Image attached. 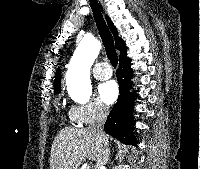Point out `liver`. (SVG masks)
<instances>
[{
	"instance_id": "liver-1",
	"label": "liver",
	"mask_w": 200,
	"mask_h": 169,
	"mask_svg": "<svg viewBox=\"0 0 200 169\" xmlns=\"http://www.w3.org/2000/svg\"><path fill=\"white\" fill-rule=\"evenodd\" d=\"M108 137H100L90 128L61 129L55 136L50 153V169H78L86 160L98 161L102 145Z\"/></svg>"
}]
</instances>
